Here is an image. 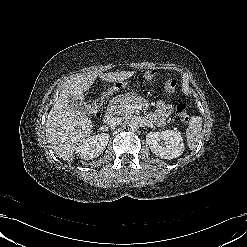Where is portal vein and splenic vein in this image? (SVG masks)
I'll use <instances>...</instances> for the list:
<instances>
[{
  "mask_svg": "<svg viewBox=\"0 0 247 247\" xmlns=\"http://www.w3.org/2000/svg\"><path fill=\"white\" fill-rule=\"evenodd\" d=\"M129 108L132 110H135V109H138V106L137 105H130Z\"/></svg>",
  "mask_w": 247,
  "mask_h": 247,
  "instance_id": "portal-vein-and-splenic-vein-1",
  "label": "portal vein and splenic vein"
}]
</instances>
